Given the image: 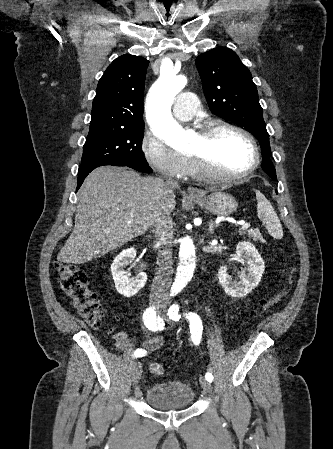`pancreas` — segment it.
Wrapping results in <instances>:
<instances>
[{"label": "pancreas", "mask_w": 333, "mask_h": 449, "mask_svg": "<svg viewBox=\"0 0 333 449\" xmlns=\"http://www.w3.org/2000/svg\"><path fill=\"white\" fill-rule=\"evenodd\" d=\"M246 234L250 238H252L254 241L259 240L260 242H264L263 237H262L261 233L259 232V230L249 229V230H247Z\"/></svg>", "instance_id": "obj_1"}]
</instances>
